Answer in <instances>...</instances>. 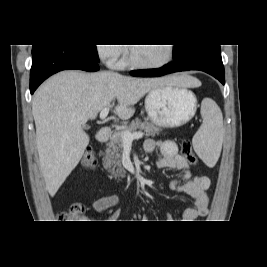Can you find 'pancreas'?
I'll return each instance as SVG.
<instances>
[{
  "label": "pancreas",
  "mask_w": 267,
  "mask_h": 267,
  "mask_svg": "<svg viewBox=\"0 0 267 267\" xmlns=\"http://www.w3.org/2000/svg\"><path fill=\"white\" fill-rule=\"evenodd\" d=\"M144 130L146 136L154 137L159 133L160 129L155 125L148 123L147 121L141 122L136 119L131 124L124 126L120 131L114 132L110 137V141L107 143L105 150V158L103 160V166L108 172L115 176H123L124 168L121 164V152L124 145V141L121 137L123 132H136V130Z\"/></svg>",
  "instance_id": "1"
}]
</instances>
